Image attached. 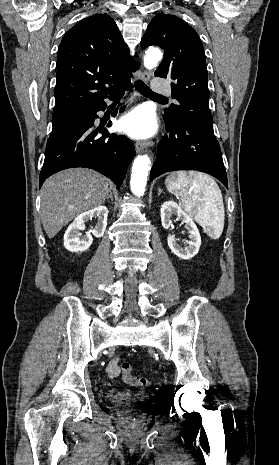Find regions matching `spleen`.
<instances>
[{"instance_id":"3e777b00","label":"spleen","mask_w":279,"mask_h":465,"mask_svg":"<svg viewBox=\"0 0 279 465\" xmlns=\"http://www.w3.org/2000/svg\"><path fill=\"white\" fill-rule=\"evenodd\" d=\"M167 189L180 196L179 205L213 239L224 228L225 212L221 191L212 177L204 173L178 171L165 180Z\"/></svg>"}]
</instances>
